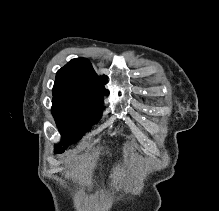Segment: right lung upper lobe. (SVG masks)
Returning a JSON list of instances; mask_svg holds the SVG:
<instances>
[{
    "label": "right lung upper lobe",
    "mask_w": 219,
    "mask_h": 211,
    "mask_svg": "<svg viewBox=\"0 0 219 211\" xmlns=\"http://www.w3.org/2000/svg\"><path fill=\"white\" fill-rule=\"evenodd\" d=\"M106 78H99L87 59H73L56 74L53 100L100 105L107 93L102 84Z\"/></svg>",
    "instance_id": "1"
}]
</instances>
